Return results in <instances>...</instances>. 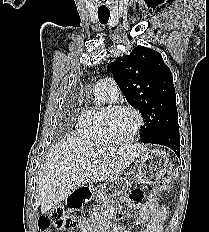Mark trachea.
I'll list each match as a JSON object with an SVG mask.
<instances>
[{"instance_id": "1", "label": "trachea", "mask_w": 209, "mask_h": 232, "mask_svg": "<svg viewBox=\"0 0 209 232\" xmlns=\"http://www.w3.org/2000/svg\"><path fill=\"white\" fill-rule=\"evenodd\" d=\"M110 17V11H98V19L101 24H107Z\"/></svg>"}]
</instances>
